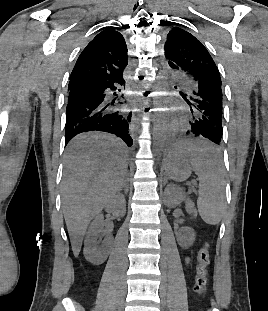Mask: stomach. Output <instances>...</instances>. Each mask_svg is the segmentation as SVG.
<instances>
[{
  "label": "stomach",
  "mask_w": 268,
  "mask_h": 311,
  "mask_svg": "<svg viewBox=\"0 0 268 311\" xmlns=\"http://www.w3.org/2000/svg\"><path fill=\"white\" fill-rule=\"evenodd\" d=\"M190 159V147H172L166 158V174L175 181H185L192 173Z\"/></svg>",
  "instance_id": "0dacf381"
}]
</instances>
